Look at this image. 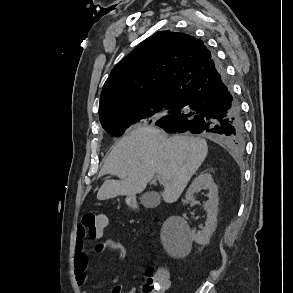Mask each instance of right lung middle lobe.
<instances>
[{"label":"right lung middle lobe","mask_w":293,"mask_h":293,"mask_svg":"<svg viewBox=\"0 0 293 293\" xmlns=\"http://www.w3.org/2000/svg\"><path fill=\"white\" fill-rule=\"evenodd\" d=\"M176 108V99L164 100L152 108L125 115H110L100 119L102 127L114 136H121L132 124L140 121H156Z\"/></svg>","instance_id":"1"}]
</instances>
